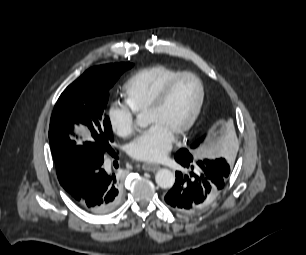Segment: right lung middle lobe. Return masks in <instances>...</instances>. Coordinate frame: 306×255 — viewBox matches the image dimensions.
<instances>
[{"label":"right lung middle lobe","mask_w":306,"mask_h":255,"mask_svg":"<svg viewBox=\"0 0 306 255\" xmlns=\"http://www.w3.org/2000/svg\"><path fill=\"white\" fill-rule=\"evenodd\" d=\"M132 66L115 63L101 70L90 68L59 97L51 116L49 142L58 180L64 189L76 185L83 169L103 163L105 153L111 149L112 127L105 112L109 89ZM79 123L89 128L91 141L77 144L70 139L74 125Z\"/></svg>","instance_id":"dd1d6c3e"}]
</instances>
